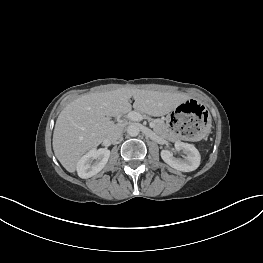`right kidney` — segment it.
<instances>
[{
    "label": "right kidney",
    "instance_id": "1",
    "mask_svg": "<svg viewBox=\"0 0 263 263\" xmlns=\"http://www.w3.org/2000/svg\"><path fill=\"white\" fill-rule=\"evenodd\" d=\"M110 150L100 148L92 149L82 156L76 165L78 176L83 179L90 178L99 173L108 162Z\"/></svg>",
    "mask_w": 263,
    "mask_h": 263
}]
</instances>
